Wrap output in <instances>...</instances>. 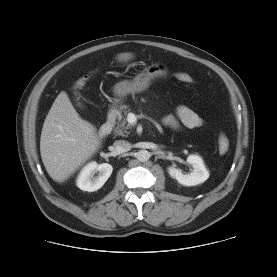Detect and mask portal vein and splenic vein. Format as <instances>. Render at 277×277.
<instances>
[{
	"instance_id": "portal-vein-and-splenic-vein-1",
	"label": "portal vein and splenic vein",
	"mask_w": 277,
	"mask_h": 277,
	"mask_svg": "<svg viewBox=\"0 0 277 277\" xmlns=\"http://www.w3.org/2000/svg\"><path fill=\"white\" fill-rule=\"evenodd\" d=\"M128 122L131 124V125H135L136 122H137V116L134 114V113H130L128 115Z\"/></svg>"
}]
</instances>
